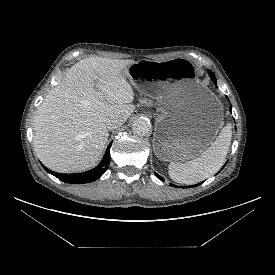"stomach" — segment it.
<instances>
[{
    "label": "stomach",
    "mask_w": 275,
    "mask_h": 275,
    "mask_svg": "<svg viewBox=\"0 0 275 275\" xmlns=\"http://www.w3.org/2000/svg\"><path fill=\"white\" fill-rule=\"evenodd\" d=\"M125 75L140 92L158 99L161 114L156 119L153 147L159 159H194L216 138L223 120L222 105L198 81L189 60L144 59L128 66Z\"/></svg>",
    "instance_id": "stomach-1"
}]
</instances>
